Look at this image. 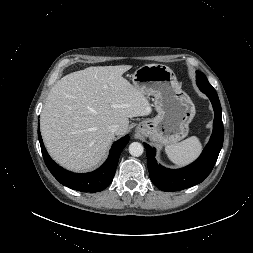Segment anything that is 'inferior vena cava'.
Returning a JSON list of instances; mask_svg holds the SVG:
<instances>
[{
  "label": "inferior vena cava",
  "mask_w": 253,
  "mask_h": 253,
  "mask_svg": "<svg viewBox=\"0 0 253 253\" xmlns=\"http://www.w3.org/2000/svg\"><path fill=\"white\" fill-rule=\"evenodd\" d=\"M108 130L111 133L116 134L119 131V125L118 124H111L108 126Z\"/></svg>",
  "instance_id": "inferior-vena-cava-1"
}]
</instances>
